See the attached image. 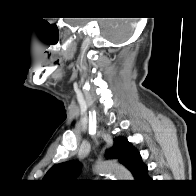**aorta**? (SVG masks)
<instances>
[{"label":"aorta","mask_w":196,"mask_h":196,"mask_svg":"<svg viewBox=\"0 0 196 196\" xmlns=\"http://www.w3.org/2000/svg\"><path fill=\"white\" fill-rule=\"evenodd\" d=\"M95 169L100 173L112 175L115 180H132L131 173L121 164L115 161H99Z\"/></svg>","instance_id":"762f6f07"}]
</instances>
